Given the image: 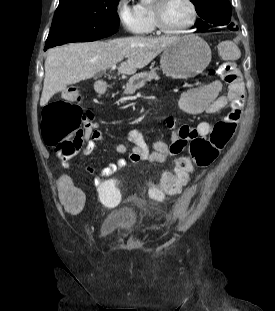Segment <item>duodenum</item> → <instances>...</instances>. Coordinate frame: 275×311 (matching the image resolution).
<instances>
[{
	"label": "duodenum",
	"mask_w": 275,
	"mask_h": 311,
	"mask_svg": "<svg viewBox=\"0 0 275 311\" xmlns=\"http://www.w3.org/2000/svg\"><path fill=\"white\" fill-rule=\"evenodd\" d=\"M108 89V83L103 80H98L95 84V90L99 95H103L106 93Z\"/></svg>",
	"instance_id": "410a0bca"
}]
</instances>
